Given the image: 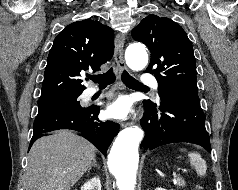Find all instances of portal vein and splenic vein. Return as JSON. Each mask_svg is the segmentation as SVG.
<instances>
[{
	"instance_id": "portal-vein-and-splenic-vein-1",
	"label": "portal vein and splenic vein",
	"mask_w": 238,
	"mask_h": 190,
	"mask_svg": "<svg viewBox=\"0 0 238 190\" xmlns=\"http://www.w3.org/2000/svg\"><path fill=\"white\" fill-rule=\"evenodd\" d=\"M183 170V172H187V170L186 169H182ZM173 175H175V172L173 173Z\"/></svg>"
}]
</instances>
